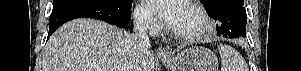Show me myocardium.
<instances>
[{"instance_id":"obj_1","label":"myocardium","mask_w":301,"mask_h":71,"mask_svg":"<svg viewBox=\"0 0 301 71\" xmlns=\"http://www.w3.org/2000/svg\"><path fill=\"white\" fill-rule=\"evenodd\" d=\"M186 6L191 8L199 17L200 24L194 32H180L174 29H169L171 34L182 41L194 42L206 36L210 30V17L207 12L197 3L193 1H183Z\"/></svg>"}]
</instances>
